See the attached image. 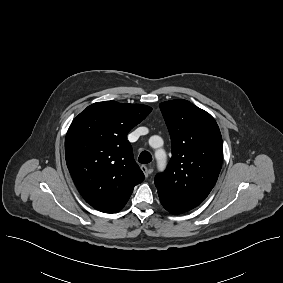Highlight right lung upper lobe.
<instances>
[{"instance_id":"obj_1","label":"right lung upper lobe","mask_w":283,"mask_h":283,"mask_svg":"<svg viewBox=\"0 0 283 283\" xmlns=\"http://www.w3.org/2000/svg\"><path fill=\"white\" fill-rule=\"evenodd\" d=\"M151 110L104 101L88 106L72 121L65 140L67 167L80 194L95 209L120 211L144 180L127 134Z\"/></svg>"}]
</instances>
